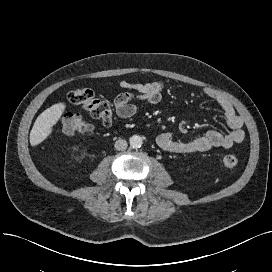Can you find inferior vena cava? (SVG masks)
Instances as JSON below:
<instances>
[{
  "instance_id": "1",
  "label": "inferior vena cava",
  "mask_w": 272,
  "mask_h": 272,
  "mask_svg": "<svg viewBox=\"0 0 272 272\" xmlns=\"http://www.w3.org/2000/svg\"><path fill=\"white\" fill-rule=\"evenodd\" d=\"M115 149L116 150H125L127 148V142L126 140H123V139H118L116 142H115Z\"/></svg>"
}]
</instances>
